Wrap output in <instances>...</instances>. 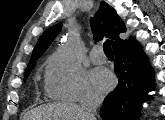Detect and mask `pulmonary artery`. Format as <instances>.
<instances>
[{
    "instance_id": "e3ab8cb5",
    "label": "pulmonary artery",
    "mask_w": 165,
    "mask_h": 120,
    "mask_svg": "<svg viewBox=\"0 0 165 120\" xmlns=\"http://www.w3.org/2000/svg\"><path fill=\"white\" fill-rule=\"evenodd\" d=\"M90 58L95 63H103L106 61V56L100 46H95L90 52Z\"/></svg>"
}]
</instances>
